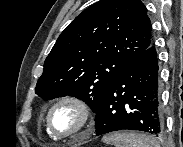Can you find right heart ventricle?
Instances as JSON below:
<instances>
[{
    "instance_id": "e07e8e85",
    "label": "right heart ventricle",
    "mask_w": 183,
    "mask_h": 147,
    "mask_svg": "<svg viewBox=\"0 0 183 147\" xmlns=\"http://www.w3.org/2000/svg\"><path fill=\"white\" fill-rule=\"evenodd\" d=\"M48 134H49V136H50L51 138H53V139H54V137L49 133V131H48Z\"/></svg>"
}]
</instances>
